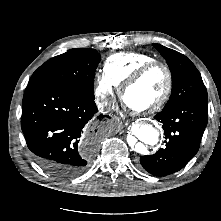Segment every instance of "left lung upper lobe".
Instances as JSON below:
<instances>
[{
  "label": "left lung upper lobe",
  "instance_id": "obj_1",
  "mask_svg": "<svg viewBox=\"0 0 221 221\" xmlns=\"http://www.w3.org/2000/svg\"><path fill=\"white\" fill-rule=\"evenodd\" d=\"M153 46L165 58L172 75V92L165 107L175 106L193 98L208 99L199 71L186 56L160 44Z\"/></svg>",
  "mask_w": 221,
  "mask_h": 221
}]
</instances>
